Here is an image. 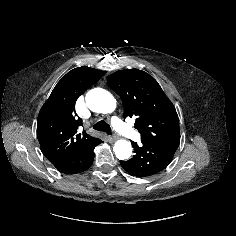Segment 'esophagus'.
Listing matches in <instances>:
<instances>
[{
  "label": "esophagus",
  "instance_id": "34e87169",
  "mask_svg": "<svg viewBox=\"0 0 236 236\" xmlns=\"http://www.w3.org/2000/svg\"><path fill=\"white\" fill-rule=\"evenodd\" d=\"M116 139H117L116 136H109V140H110L111 142L115 141Z\"/></svg>",
  "mask_w": 236,
  "mask_h": 236
}]
</instances>
